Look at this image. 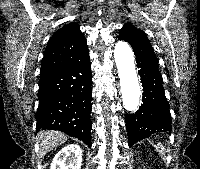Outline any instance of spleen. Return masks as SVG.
<instances>
[{"mask_svg":"<svg viewBox=\"0 0 200 169\" xmlns=\"http://www.w3.org/2000/svg\"><path fill=\"white\" fill-rule=\"evenodd\" d=\"M158 148L160 149V152L164 154L165 148L162 144H157Z\"/></svg>","mask_w":200,"mask_h":169,"instance_id":"obj_1","label":"spleen"}]
</instances>
